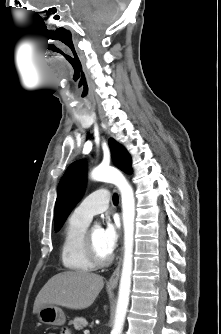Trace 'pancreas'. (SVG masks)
Instances as JSON below:
<instances>
[{
  "label": "pancreas",
  "mask_w": 221,
  "mask_h": 334,
  "mask_svg": "<svg viewBox=\"0 0 221 334\" xmlns=\"http://www.w3.org/2000/svg\"><path fill=\"white\" fill-rule=\"evenodd\" d=\"M71 324L74 325L75 330H82L84 327L88 325L87 321L83 317H76L73 321H71Z\"/></svg>",
  "instance_id": "1"
}]
</instances>
